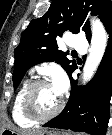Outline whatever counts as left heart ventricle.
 <instances>
[{
    "label": "left heart ventricle",
    "mask_w": 112,
    "mask_h": 135,
    "mask_svg": "<svg viewBox=\"0 0 112 135\" xmlns=\"http://www.w3.org/2000/svg\"><path fill=\"white\" fill-rule=\"evenodd\" d=\"M60 99L52 84L39 87L34 95L35 106L43 114L53 111L59 105Z\"/></svg>",
    "instance_id": "obj_1"
}]
</instances>
